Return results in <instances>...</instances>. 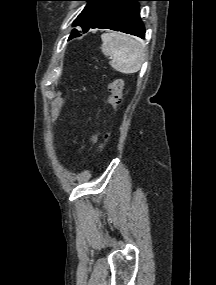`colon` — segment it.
<instances>
[{
    "label": "colon",
    "mask_w": 216,
    "mask_h": 285,
    "mask_svg": "<svg viewBox=\"0 0 216 285\" xmlns=\"http://www.w3.org/2000/svg\"><path fill=\"white\" fill-rule=\"evenodd\" d=\"M123 80L120 78L114 79L113 81H111L108 85V99H107V103L113 107V108H117L122 101V91H123ZM106 140L109 139V135H106L105 137Z\"/></svg>",
    "instance_id": "1"
}]
</instances>
